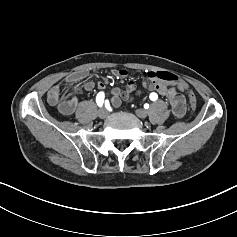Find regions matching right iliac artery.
<instances>
[{"mask_svg":"<svg viewBox=\"0 0 237 237\" xmlns=\"http://www.w3.org/2000/svg\"><path fill=\"white\" fill-rule=\"evenodd\" d=\"M104 92H99L97 94V97H96V103L99 107H102L103 106V103H104Z\"/></svg>","mask_w":237,"mask_h":237,"instance_id":"1","label":"right iliac artery"}]
</instances>
